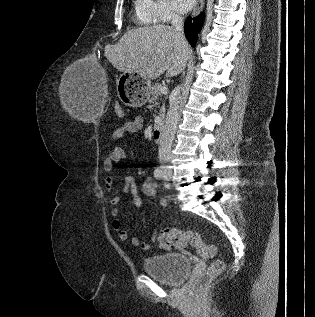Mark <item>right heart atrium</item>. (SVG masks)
I'll return each mask as SVG.
<instances>
[{
	"label": "right heart atrium",
	"instance_id": "right-heart-atrium-1",
	"mask_svg": "<svg viewBox=\"0 0 315 317\" xmlns=\"http://www.w3.org/2000/svg\"><path fill=\"white\" fill-rule=\"evenodd\" d=\"M155 21L165 22L175 16L165 0H144Z\"/></svg>",
	"mask_w": 315,
	"mask_h": 317
}]
</instances>
